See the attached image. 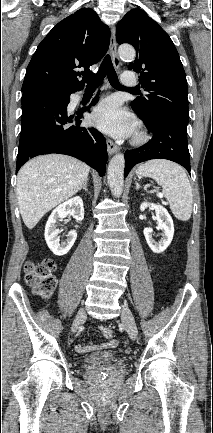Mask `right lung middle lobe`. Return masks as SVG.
Here are the masks:
<instances>
[{"label":"right lung middle lobe","mask_w":213,"mask_h":433,"mask_svg":"<svg viewBox=\"0 0 213 433\" xmlns=\"http://www.w3.org/2000/svg\"><path fill=\"white\" fill-rule=\"evenodd\" d=\"M41 94L52 96V97H57V98H69V95H55V94H46V93H41Z\"/></svg>","instance_id":"dd1d6c3e"}]
</instances>
